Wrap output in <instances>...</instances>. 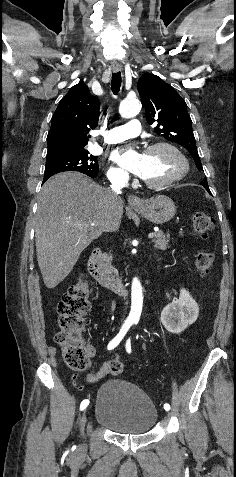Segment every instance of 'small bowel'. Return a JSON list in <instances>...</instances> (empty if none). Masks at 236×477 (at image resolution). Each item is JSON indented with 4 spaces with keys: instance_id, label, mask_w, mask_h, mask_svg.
<instances>
[{
    "instance_id": "1",
    "label": "small bowel",
    "mask_w": 236,
    "mask_h": 477,
    "mask_svg": "<svg viewBox=\"0 0 236 477\" xmlns=\"http://www.w3.org/2000/svg\"><path fill=\"white\" fill-rule=\"evenodd\" d=\"M88 355L90 358H94L96 351L91 344H86ZM109 373L108 362H105L98 371H90L86 375V381L88 383H96L102 380Z\"/></svg>"
}]
</instances>
